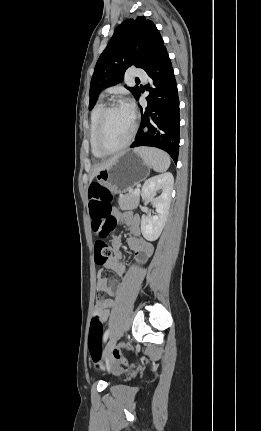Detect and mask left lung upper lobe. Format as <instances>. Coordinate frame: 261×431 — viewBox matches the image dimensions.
I'll return each mask as SVG.
<instances>
[{
	"mask_svg": "<svg viewBox=\"0 0 261 431\" xmlns=\"http://www.w3.org/2000/svg\"><path fill=\"white\" fill-rule=\"evenodd\" d=\"M162 47V37L152 21L144 16L123 21L96 63L90 84L89 110L104 88L123 80L126 69L131 66L145 69ZM128 89L135 97L139 93L137 86Z\"/></svg>",
	"mask_w": 261,
	"mask_h": 431,
	"instance_id": "left-lung-upper-lobe-1",
	"label": "left lung upper lobe"
}]
</instances>
